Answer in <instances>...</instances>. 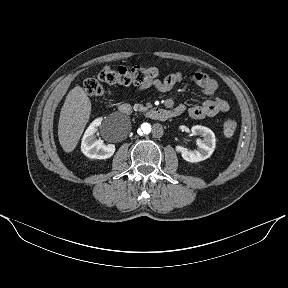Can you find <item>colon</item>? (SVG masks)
I'll use <instances>...</instances> for the list:
<instances>
[{"mask_svg":"<svg viewBox=\"0 0 288 288\" xmlns=\"http://www.w3.org/2000/svg\"><path fill=\"white\" fill-rule=\"evenodd\" d=\"M158 75L159 70L154 66H134L132 68L121 66L117 69L105 67L99 72L98 80L85 79L82 81V87L90 96H104L109 91L99 81L107 84L140 85L156 79ZM222 128L226 136H232L237 130V122L234 119H226Z\"/></svg>","mask_w":288,"mask_h":288,"instance_id":"1","label":"colon"}]
</instances>
